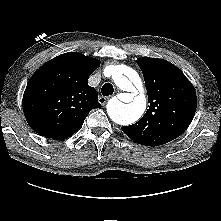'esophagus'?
Here are the masks:
<instances>
[{"mask_svg": "<svg viewBox=\"0 0 221 221\" xmlns=\"http://www.w3.org/2000/svg\"><path fill=\"white\" fill-rule=\"evenodd\" d=\"M98 100L101 105H105L106 102L109 100V97L100 96Z\"/></svg>", "mask_w": 221, "mask_h": 221, "instance_id": "obj_1", "label": "esophagus"}]
</instances>
